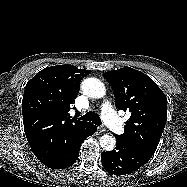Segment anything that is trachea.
<instances>
[{"instance_id":"1","label":"trachea","mask_w":187,"mask_h":187,"mask_svg":"<svg viewBox=\"0 0 187 187\" xmlns=\"http://www.w3.org/2000/svg\"><path fill=\"white\" fill-rule=\"evenodd\" d=\"M80 119L86 120V121H92L96 125H101V119L95 111H90L86 113L84 116H82Z\"/></svg>"}]
</instances>
